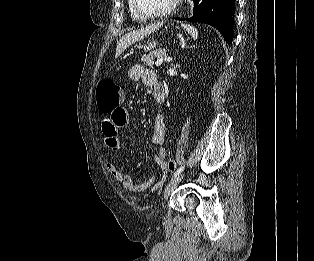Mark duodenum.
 Returning a JSON list of instances; mask_svg holds the SVG:
<instances>
[{"label": "duodenum", "mask_w": 314, "mask_h": 261, "mask_svg": "<svg viewBox=\"0 0 314 261\" xmlns=\"http://www.w3.org/2000/svg\"><path fill=\"white\" fill-rule=\"evenodd\" d=\"M156 99L160 102L164 101V92L162 90L156 92Z\"/></svg>", "instance_id": "1"}]
</instances>
